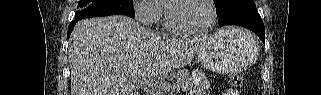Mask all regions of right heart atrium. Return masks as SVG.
I'll list each match as a JSON object with an SVG mask.
<instances>
[{"mask_svg":"<svg viewBox=\"0 0 321 95\" xmlns=\"http://www.w3.org/2000/svg\"><path fill=\"white\" fill-rule=\"evenodd\" d=\"M133 12L138 22L150 26L160 19L162 7L157 0H137L133 3Z\"/></svg>","mask_w":321,"mask_h":95,"instance_id":"right-heart-atrium-1","label":"right heart atrium"}]
</instances>
